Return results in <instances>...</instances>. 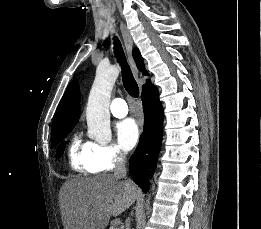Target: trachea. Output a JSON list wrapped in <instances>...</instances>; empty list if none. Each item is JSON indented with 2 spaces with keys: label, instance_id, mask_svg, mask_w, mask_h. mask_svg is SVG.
Listing matches in <instances>:
<instances>
[{
  "label": "trachea",
  "instance_id": "1",
  "mask_svg": "<svg viewBox=\"0 0 261 229\" xmlns=\"http://www.w3.org/2000/svg\"><path fill=\"white\" fill-rule=\"evenodd\" d=\"M113 49L115 57L122 68L123 86L131 97L137 98L139 96V87L132 75L129 65L127 64L122 45L117 37H114Z\"/></svg>",
  "mask_w": 261,
  "mask_h": 229
}]
</instances>
